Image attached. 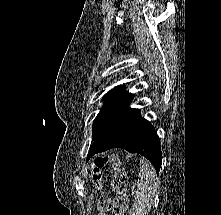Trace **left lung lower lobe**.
Instances as JSON below:
<instances>
[{
	"label": "left lung lower lobe",
	"mask_w": 221,
	"mask_h": 215,
	"mask_svg": "<svg viewBox=\"0 0 221 215\" xmlns=\"http://www.w3.org/2000/svg\"><path fill=\"white\" fill-rule=\"evenodd\" d=\"M93 141L87 159L111 148H123L145 156L159 173L162 161L160 141L154 127L141 117L139 109L129 108Z\"/></svg>",
	"instance_id": "1"
}]
</instances>
